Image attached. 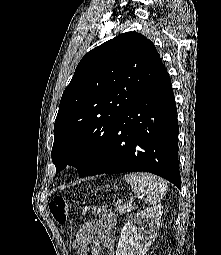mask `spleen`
Returning a JSON list of instances; mask_svg holds the SVG:
<instances>
[{"label": "spleen", "instance_id": "3e777b00", "mask_svg": "<svg viewBox=\"0 0 221 255\" xmlns=\"http://www.w3.org/2000/svg\"><path fill=\"white\" fill-rule=\"evenodd\" d=\"M123 179L132 187L136 194L145 196L149 204H157L168 190L167 182L156 175L137 172L125 174Z\"/></svg>", "mask_w": 221, "mask_h": 255}]
</instances>
